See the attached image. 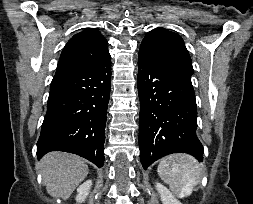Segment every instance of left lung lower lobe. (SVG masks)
<instances>
[{
    "label": "left lung lower lobe",
    "instance_id": "obj_1",
    "mask_svg": "<svg viewBox=\"0 0 253 204\" xmlns=\"http://www.w3.org/2000/svg\"><path fill=\"white\" fill-rule=\"evenodd\" d=\"M138 68L139 148L143 168L177 152L202 161L203 146L196 135L197 106L191 77L140 52Z\"/></svg>",
    "mask_w": 253,
    "mask_h": 204
}]
</instances>
